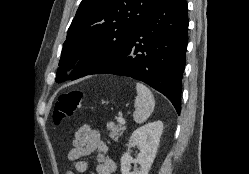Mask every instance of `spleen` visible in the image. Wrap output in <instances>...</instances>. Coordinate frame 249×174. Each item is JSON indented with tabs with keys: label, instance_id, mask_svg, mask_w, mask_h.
I'll list each match as a JSON object with an SVG mask.
<instances>
[{
	"label": "spleen",
	"instance_id": "obj_1",
	"mask_svg": "<svg viewBox=\"0 0 249 174\" xmlns=\"http://www.w3.org/2000/svg\"><path fill=\"white\" fill-rule=\"evenodd\" d=\"M137 97L135 99L133 114L136 123L145 122L152 114L155 107V100L152 92L143 84L136 83Z\"/></svg>",
	"mask_w": 249,
	"mask_h": 174
}]
</instances>
